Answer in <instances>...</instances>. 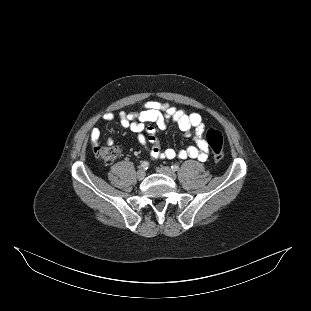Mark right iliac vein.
I'll use <instances>...</instances> for the list:
<instances>
[{"instance_id": "1", "label": "right iliac vein", "mask_w": 311, "mask_h": 311, "mask_svg": "<svg viewBox=\"0 0 311 311\" xmlns=\"http://www.w3.org/2000/svg\"><path fill=\"white\" fill-rule=\"evenodd\" d=\"M145 175L146 173L143 169L138 170L136 174L138 180H143L145 178Z\"/></svg>"}]
</instances>
